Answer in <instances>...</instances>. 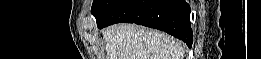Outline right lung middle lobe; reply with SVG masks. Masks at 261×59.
Segmentation results:
<instances>
[{
    "label": "right lung middle lobe",
    "mask_w": 261,
    "mask_h": 59,
    "mask_svg": "<svg viewBox=\"0 0 261 59\" xmlns=\"http://www.w3.org/2000/svg\"><path fill=\"white\" fill-rule=\"evenodd\" d=\"M118 0H94L91 12L97 17L106 12L112 7Z\"/></svg>",
    "instance_id": "right-lung-middle-lobe-1"
}]
</instances>
